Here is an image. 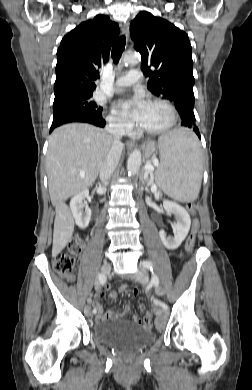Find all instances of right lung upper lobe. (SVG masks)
I'll list each match as a JSON object with an SVG mask.
<instances>
[{"instance_id":"obj_1","label":"right lung upper lobe","mask_w":252,"mask_h":390,"mask_svg":"<svg viewBox=\"0 0 252 390\" xmlns=\"http://www.w3.org/2000/svg\"><path fill=\"white\" fill-rule=\"evenodd\" d=\"M118 35V24L106 15H97L64 36L57 50L54 101L93 93L99 68L108 61Z\"/></svg>"}]
</instances>
